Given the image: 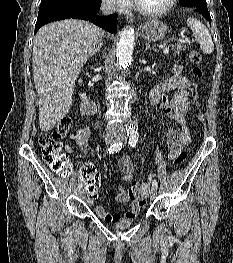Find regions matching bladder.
<instances>
[{
    "label": "bladder",
    "instance_id": "1",
    "mask_svg": "<svg viewBox=\"0 0 233 263\" xmlns=\"http://www.w3.org/2000/svg\"><path fill=\"white\" fill-rule=\"evenodd\" d=\"M134 217L123 218L117 222H114L112 228L115 230H122L130 227L134 223Z\"/></svg>",
    "mask_w": 233,
    "mask_h": 263
}]
</instances>
